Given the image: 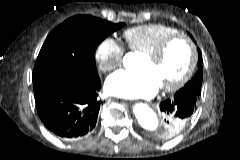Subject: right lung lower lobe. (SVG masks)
I'll return each instance as SVG.
<instances>
[{
	"label": "right lung lower lobe",
	"mask_w": 240,
	"mask_h": 160,
	"mask_svg": "<svg viewBox=\"0 0 240 160\" xmlns=\"http://www.w3.org/2000/svg\"><path fill=\"white\" fill-rule=\"evenodd\" d=\"M38 115L46 128L65 139H76L95 127L102 104L98 75L84 79L53 71L34 80Z\"/></svg>",
	"instance_id": "98d812e1"
}]
</instances>
